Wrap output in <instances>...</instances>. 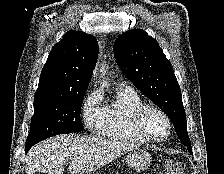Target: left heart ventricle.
<instances>
[{
  "label": "left heart ventricle",
  "mask_w": 224,
  "mask_h": 174,
  "mask_svg": "<svg viewBox=\"0 0 224 174\" xmlns=\"http://www.w3.org/2000/svg\"><path fill=\"white\" fill-rule=\"evenodd\" d=\"M147 132L155 137L164 136L167 132V124L164 118L156 112H149L145 117Z\"/></svg>",
  "instance_id": "b2bd125f"
}]
</instances>
